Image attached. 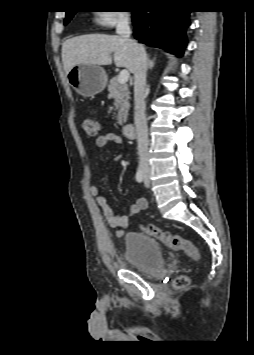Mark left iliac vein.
I'll return each instance as SVG.
<instances>
[{"instance_id":"1","label":"left iliac vein","mask_w":254,"mask_h":355,"mask_svg":"<svg viewBox=\"0 0 254 355\" xmlns=\"http://www.w3.org/2000/svg\"><path fill=\"white\" fill-rule=\"evenodd\" d=\"M149 170L148 169H145V175H144V184L146 187L149 186Z\"/></svg>"}]
</instances>
